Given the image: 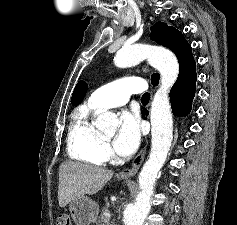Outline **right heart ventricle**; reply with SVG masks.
Returning <instances> with one entry per match:
<instances>
[{
  "instance_id": "1",
  "label": "right heart ventricle",
  "mask_w": 237,
  "mask_h": 225,
  "mask_svg": "<svg viewBox=\"0 0 237 225\" xmlns=\"http://www.w3.org/2000/svg\"><path fill=\"white\" fill-rule=\"evenodd\" d=\"M99 110L89 101L76 111L68 134V153L71 158L94 165L105 162L101 152L104 139L92 123L93 115Z\"/></svg>"
}]
</instances>
